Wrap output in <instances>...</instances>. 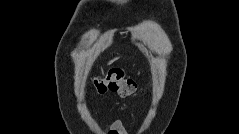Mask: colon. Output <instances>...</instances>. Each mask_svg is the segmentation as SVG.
<instances>
[{
    "instance_id": "1",
    "label": "colon",
    "mask_w": 239,
    "mask_h": 134,
    "mask_svg": "<svg viewBox=\"0 0 239 134\" xmlns=\"http://www.w3.org/2000/svg\"><path fill=\"white\" fill-rule=\"evenodd\" d=\"M93 86L99 94L111 91L118 93L122 97H132L137 91L135 81L125 77L123 71L120 69L110 70L107 74L95 78Z\"/></svg>"
}]
</instances>
